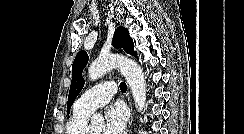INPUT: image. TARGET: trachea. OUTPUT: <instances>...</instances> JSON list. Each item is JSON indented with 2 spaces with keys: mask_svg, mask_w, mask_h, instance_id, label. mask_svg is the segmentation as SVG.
<instances>
[{
  "mask_svg": "<svg viewBox=\"0 0 244 134\" xmlns=\"http://www.w3.org/2000/svg\"><path fill=\"white\" fill-rule=\"evenodd\" d=\"M120 90L124 93L127 91V85L125 82L120 83Z\"/></svg>",
  "mask_w": 244,
  "mask_h": 134,
  "instance_id": "obj_1",
  "label": "trachea"
}]
</instances>
